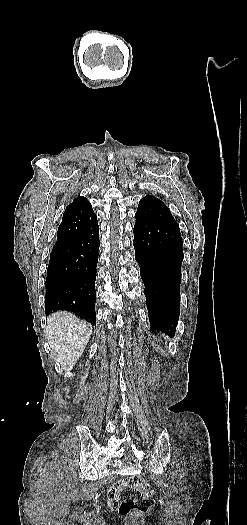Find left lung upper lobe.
<instances>
[{"label":"left lung upper lobe","instance_id":"left-lung-upper-lobe-1","mask_svg":"<svg viewBox=\"0 0 247 525\" xmlns=\"http://www.w3.org/2000/svg\"><path fill=\"white\" fill-rule=\"evenodd\" d=\"M136 216L157 219L179 229L168 207L152 195H146L139 201Z\"/></svg>","mask_w":247,"mask_h":525}]
</instances>
